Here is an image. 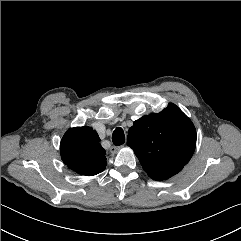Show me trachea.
<instances>
[{"label":"trachea","mask_w":241,"mask_h":241,"mask_svg":"<svg viewBox=\"0 0 241 241\" xmlns=\"http://www.w3.org/2000/svg\"><path fill=\"white\" fill-rule=\"evenodd\" d=\"M112 141L114 145H122L125 142L124 131L122 128L118 127L114 130L112 135Z\"/></svg>","instance_id":"3493384b"}]
</instances>
